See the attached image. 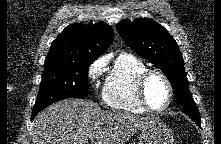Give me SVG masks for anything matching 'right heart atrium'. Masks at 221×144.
Wrapping results in <instances>:
<instances>
[{"label":"right heart atrium","instance_id":"obj_1","mask_svg":"<svg viewBox=\"0 0 221 144\" xmlns=\"http://www.w3.org/2000/svg\"><path fill=\"white\" fill-rule=\"evenodd\" d=\"M105 62L104 59L99 58L95 60L88 69V78L92 83H97L103 72Z\"/></svg>","mask_w":221,"mask_h":144}]
</instances>
